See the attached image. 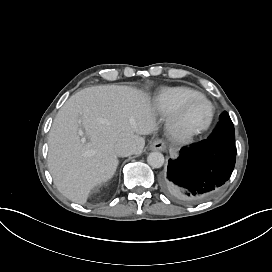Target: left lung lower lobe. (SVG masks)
I'll list each match as a JSON object with an SVG mask.
<instances>
[{
    "label": "left lung lower lobe",
    "mask_w": 272,
    "mask_h": 272,
    "mask_svg": "<svg viewBox=\"0 0 272 272\" xmlns=\"http://www.w3.org/2000/svg\"><path fill=\"white\" fill-rule=\"evenodd\" d=\"M236 161V146L206 140L181 150L169 160L161 178L163 190L176 201L195 204L218 193L230 178Z\"/></svg>",
    "instance_id": "1"
}]
</instances>
